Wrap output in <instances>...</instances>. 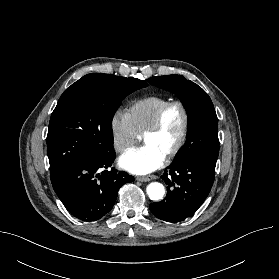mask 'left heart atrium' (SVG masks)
<instances>
[{"mask_svg":"<svg viewBox=\"0 0 279 279\" xmlns=\"http://www.w3.org/2000/svg\"><path fill=\"white\" fill-rule=\"evenodd\" d=\"M165 160V155L149 144L134 148L120 158V165L127 171L143 175L158 169Z\"/></svg>","mask_w":279,"mask_h":279,"instance_id":"39dd6f15","label":"left heart atrium"}]
</instances>
